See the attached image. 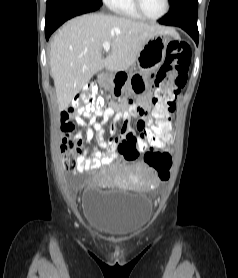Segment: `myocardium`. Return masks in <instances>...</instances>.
<instances>
[{"instance_id": "obj_1", "label": "myocardium", "mask_w": 238, "mask_h": 278, "mask_svg": "<svg viewBox=\"0 0 238 278\" xmlns=\"http://www.w3.org/2000/svg\"><path fill=\"white\" fill-rule=\"evenodd\" d=\"M133 3H134V6H135V9L139 13V15L142 18H144L146 20H149V21H159V20H161L162 18H164L168 14L169 9H170V1L165 0V8H164L163 13L158 17H151V16L147 15L146 12L144 11L141 0H133Z\"/></svg>"}]
</instances>
